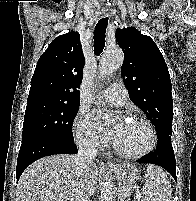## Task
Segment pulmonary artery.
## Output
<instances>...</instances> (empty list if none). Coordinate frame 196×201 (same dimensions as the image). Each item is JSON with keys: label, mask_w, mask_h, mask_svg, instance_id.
<instances>
[{"label": "pulmonary artery", "mask_w": 196, "mask_h": 201, "mask_svg": "<svg viewBox=\"0 0 196 201\" xmlns=\"http://www.w3.org/2000/svg\"><path fill=\"white\" fill-rule=\"evenodd\" d=\"M102 95L107 102L116 106L123 105L127 99V91L121 83L111 84Z\"/></svg>", "instance_id": "1"}]
</instances>
